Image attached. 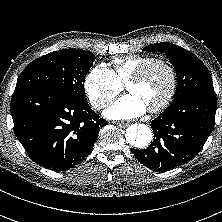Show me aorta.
Segmentation results:
<instances>
[{
  "label": "aorta",
  "instance_id": "obj_1",
  "mask_svg": "<svg viewBox=\"0 0 222 222\" xmlns=\"http://www.w3.org/2000/svg\"><path fill=\"white\" fill-rule=\"evenodd\" d=\"M152 131L145 124H132L130 125L125 133L127 143L137 149H144L152 141Z\"/></svg>",
  "mask_w": 222,
  "mask_h": 222
}]
</instances>
